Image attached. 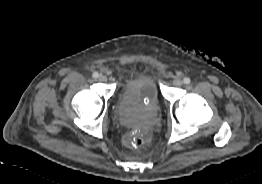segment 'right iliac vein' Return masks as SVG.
Masks as SVG:
<instances>
[{
    "mask_svg": "<svg viewBox=\"0 0 262 184\" xmlns=\"http://www.w3.org/2000/svg\"><path fill=\"white\" fill-rule=\"evenodd\" d=\"M99 81L106 82L107 81V77L105 75H100L99 76Z\"/></svg>",
    "mask_w": 262,
    "mask_h": 184,
    "instance_id": "63e3f726",
    "label": "right iliac vein"
}]
</instances>
